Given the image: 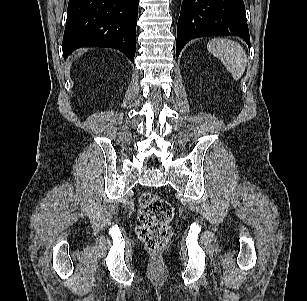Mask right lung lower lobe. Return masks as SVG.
<instances>
[{"instance_id": "right-lung-lower-lobe-1", "label": "right lung lower lobe", "mask_w": 307, "mask_h": 301, "mask_svg": "<svg viewBox=\"0 0 307 301\" xmlns=\"http://www.w3.org/2000/svg\"><path fill=\"white\" fill-rule=\"evenodd\" d=\"M139 0H69L64 58L79 47H111L134 62Z\"/></svg>"}]
</instances>
